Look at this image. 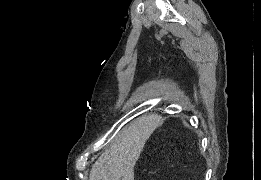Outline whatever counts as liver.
Instances as JSON below:
<instances>
[{"instance_id": "6515ba94", "label": "liver", "mask_w": 261, "mask_h": 180, "mask_svg": "<svg viewBox=\"0 0 261 180\" xmlns=\"http://www.w3.org/2000/svg\"><path fill=\"white\" fill-rule=\"evenodd\" d=\"M153 130L152 116L123 128L115 144L93 164L89 180H134V166Z\"/></svg>"}]
</instances>
